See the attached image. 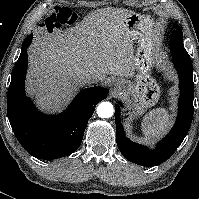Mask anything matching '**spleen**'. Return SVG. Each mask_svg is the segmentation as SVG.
Listing matches in <instances>:
<instances>
[{"label": "spleen", "mask_w": 199, "mask_h": 199, "mask_svg": "<svg viewBox=\"0 0 199 199\" xmlns=\"http://www.w3.org/2000/svg\"><path fill=\"white\" fill-rule=\"evenodd\" d=\"M170 125V116L165 108H156L145 115L141 122L142 131L147 139L163 135Z\"/></svg>", "instance_id": "3e777b00"}]
</instances>
